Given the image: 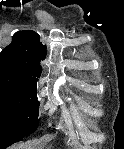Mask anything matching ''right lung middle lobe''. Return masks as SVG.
<instances>
[{
	"label": "right lung middle lobe",
	"instance_id": "dd1d6c3e",
	"mask_svg": "<svg viewBox=\"0 0 124 149\" xmlns=\"http://www.w3.org/2000/svg\"><path fill=\"white\" fill-rule=\"evenodd\" d=\"M37 87H25L0 76V139L20 141L38 127Z\"/></svg>",
	"mask_w": 124,
	"mask_h": 149
}]
</instances>
